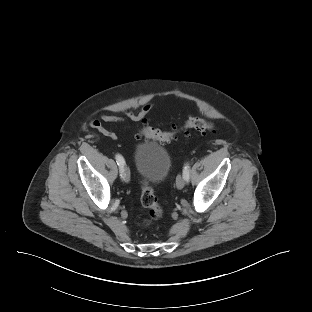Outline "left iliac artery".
<instances>
[{"mask_svg": "<svg viewBox=\"0 0 312 312\" xmlns=\"http://www.w3.org/2000/svg\"><path fill=\"white\" fill-rule=\"evenodd\" d=\"M189 164L186 163L183 167V177L186 181L189 180V176H190V169H189Z\"/></svg>", "mask_w": 312, "mask_h": 312, "instance_id": "44dca946", "label": "left iliac artery"}]
</instances>
